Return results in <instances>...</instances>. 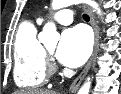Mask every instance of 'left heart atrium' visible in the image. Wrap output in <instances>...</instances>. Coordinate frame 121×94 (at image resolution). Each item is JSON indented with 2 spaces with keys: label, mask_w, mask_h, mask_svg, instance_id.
Masks as SVG:
<instances>
[{
  "label": "left heart atrium",
  "mask_w": 121,
  "mask_h": 94,
  "mask_svg": "<svg viewBox=\"0 0 121 94\" xmlns=\"http://www.w3.org/2000/svg\"><path fill=\"white\" fill-rule=\"evenodd\" d=\"M91 39L85 28L77 26L65 30L57 48L58 60L68 67H78L88 58Z\"/></svg>",
  "instance_id": "left-heart-atrium-1"
}]
</instances>
